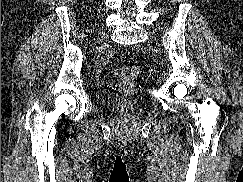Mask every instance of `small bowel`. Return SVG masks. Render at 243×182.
Listing matches in <instances>:
<instances>
[{
  "label": "small bowel",
  "instance_id": "1",
  "mask_svg": "<svg viewBox=\"0 0 243 182\" xmlns=\"http://www.w3.org/2000/svg\"><path fill=\"white\" fill-rule=\"evenodd\" d=\"M104 64H105V60H102V61H100V62L98 63V65H97V67H96V73H97V74H99V73L101 72V70H102Z\"/></svg>",
  "mask_w": 243,
  "mask_h": 182
}]
</instances>
